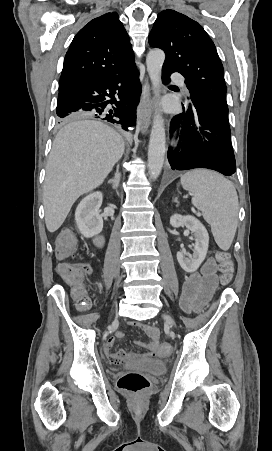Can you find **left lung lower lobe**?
<instances>
[{
  "mask_svg": "<svg viewBox=\"0 0 272 451\" xmlns=\"http://www.w3.org/2000/svg\"><path fill=\"white\" fill-rule=\"evenodd\" d=\"M173 71L162 68V80L167 84ZM181 127L180 144L168 151L172 170L208 168L226 176L236 171L228 118L193 100V108L175 116L171 121L174 132Z\"/></svg>",
  "mask_w": 272,
  "mask_h": 451,
  "instance_id": "1",
  "label": "left lung lower lobe"
}]
</instances>
